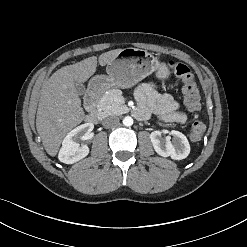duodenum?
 <instances>
[{
	"label": "duodenum",
	"mask_w": 247,
	"mask_h": 247,
	"mask_svg": "<svg viewBox=\"0 0 247 247\" xmlns=\"http://www.w3.org/2000/svg\"><path fill=\"white\" fill-rule=\"evenodd\" d=\"M102 88L98 85L93 86L85 96V106L88 110L86 115V122L96 123L99 119V112L97 110V103L101 96Z\"/></svg>",
	"instance_id": "410a0bca"
}]
</instances>
